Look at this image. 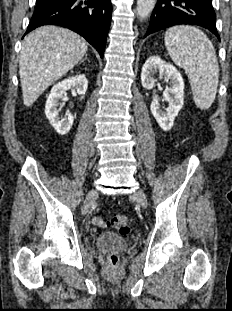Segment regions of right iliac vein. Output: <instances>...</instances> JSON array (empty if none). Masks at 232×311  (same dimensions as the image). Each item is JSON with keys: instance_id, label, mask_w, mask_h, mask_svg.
I'll return each mask as SVG.
<instances>
[{"instance_id": "obj_1", "label": "right iliac vein", "mask_w": 232, "mask_h": 311, "mask_svg": "<svg viewBox=\"0 0 232 311\" xmlns=\"http://www.w3.org/2000/svg\"><path fill=\"white\" fill-rule=\"evenodd\" d=\"M98 192L95 188H92L87 196L86 199L84 201L83 207H82V215L87 214V212L89 211V209L91 208L95 198L97 197Z\"/></svg>"}]
</instances>
